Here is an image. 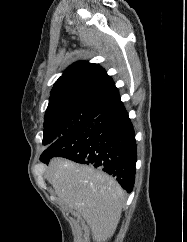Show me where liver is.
Returning a JSON list of instances; mask_svg holds the SVG:
<instances>
[{
    "label": "liver",
    "mask_w": 187,
    "mask_h": 242,
    "mask_svg": "<svg viewBox=\"0 0 187 242\" xmlns=\"http://www.w3.org/2000/svg\"><path fill=\"white\" fill-rule=\"evenodd\" d=\"M45 177L58 199L82 215L91 228L94 242H107L113 236L125 197L111 176L92 166L54 158Z\"/></svg>",
    "instance_id": "liver-1"
}]
</instances>
